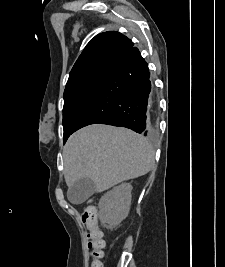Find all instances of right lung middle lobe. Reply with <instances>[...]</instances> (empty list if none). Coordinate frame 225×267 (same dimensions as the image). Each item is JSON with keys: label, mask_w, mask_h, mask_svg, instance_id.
Instances as JSON below:
<instances>
[{"label": "right lung middle lobe", "mask_w": 225, "mask_h": 267, "mask_svg": "<svg viewBox=\"0 0 225 267\" xmlns=\"http://www.w3.org/2000/svg\"><path fill=\"white\" fill-rule=\"evenodd\" d=\"M104 76L105 74H98L85 77L77 82H74L73 84L66 86L64 91L63 107L64 143L73 133L72 130L74 122L80 110L85 105Z\"/></svg>", "instance_id": "obj_1"}]
</instances>
